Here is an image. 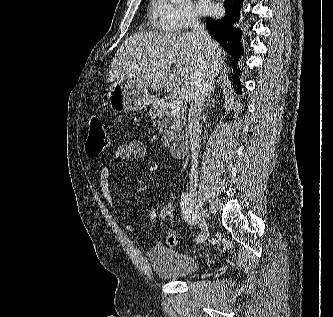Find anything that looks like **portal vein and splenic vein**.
Listing matches in <instances>:
<instances>
[{"label": "portal vein and splenic vein", "instance_id": "portal-vein-and-splenic-vein-1", "mask_svg": "<svg viewBox=\"0 0 333 317\" xmlns=\"http://www.w3.org/2000/svg\"><path fill=\"white\" fill-rule=\"evenodd\" d=\"M169 107L173 111H179L183 107V102L180 99H174L170 104Z\"/></svg>", "mask_w": 333, "mask_h": 317}]
</instances>
